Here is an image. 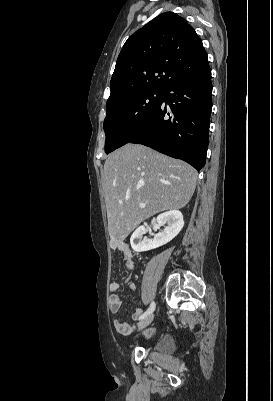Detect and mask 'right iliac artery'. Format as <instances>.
Segmentation results:
<instances>
[{
  "mask_svg": "<svg viewBox=\"0 0 273 401\" xmlns=\"http://www.w3.org/2000/svg\"><path fill=\"white\" fill-rule=\"evenodd\" d=\"M155 302H152L150 304V307L147 309L146 312H144V314H142L139 318V320L144 319L145 317H147L148 315H150L154 310H155Z\"/></svg>",
  "mask_w": 273,
  "mask_h": 401,
  "instance_id": "1",
  "label": "right iliac artery"
}]
</instances>
